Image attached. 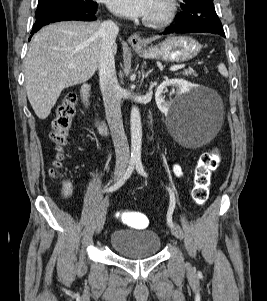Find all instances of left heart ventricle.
<instances>
[{
	"label": "left heart ventricle",
	"instance_id": "left-heart-ventricle-1",
	"mask_svg": "<svg viewBox=\"0 0 267 301\" xmlns=\"http://www.w3.org/2000/svg\"><path fill=\"white\" fill-rule=\"evenodd\" d=\"M160 10V4L156 2V0L152 1L151 10L148 14V16H153Z\"/></svg>",
	"mask_w": 267,
	"mask_h": 301
}]
</instances>
